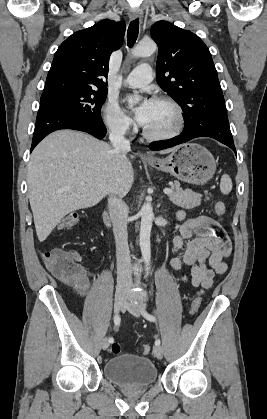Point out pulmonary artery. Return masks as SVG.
<instances>
[{
  "label": "pulmonary artery",
  "mask_w": 267,
  "mask_h": 419,
  "mask_svg": "<svg viewBox=\"0 0 267 419\" xmlns=\"http://www.w3.org/2000/svg\"><path fill=\"white\" fill-rule=\"evenodd\" d=\"M153 79V71L150 65L137 66L125 79V84L130 87H142L149 84Z\"/></svg>",
  "instance_id": "obj_1"
}]
</instances>
